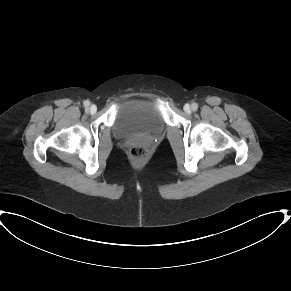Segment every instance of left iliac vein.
Here are the masks:
<instances>
[{
    "label": "left iliac vein",
    "mask_w": 291,
    "mask_h": 291,
    "mask_svg": "<svg viewBox=\"0 0 291 291\" xmlns=\"http://www.w3.org/2000/svg\"><path fill=\"white\" fill-rule=\"evenodd\" d=\"M184 110H185L186 112H190V106H189L188 104H186V105L184 106Z\"/></svg>",
    "instance_id": "left-iliac-vein-1"
}]
</instances>
